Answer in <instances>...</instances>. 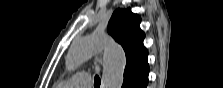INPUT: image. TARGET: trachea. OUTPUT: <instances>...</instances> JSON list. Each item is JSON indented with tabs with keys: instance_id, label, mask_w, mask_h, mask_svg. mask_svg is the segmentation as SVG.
<instances>
[{
	"instance_id": "obj_1",
	"label": "trachea",
	"mask_w": 223,
	"mask_h": 88,
	"mask_svg": "<svg viewBox=\"0 0 223 88\" xmlns=\"http://www.w3.org/2000/svg\"><path fill=\"white\" fill-rule=\"evenodd\" d=\"M101 84V80L99 78V76H95V87H99Z\"/></svg>"
}]
</instances>
